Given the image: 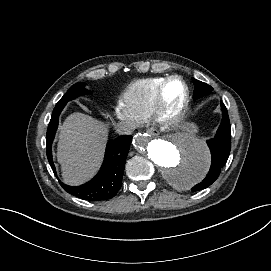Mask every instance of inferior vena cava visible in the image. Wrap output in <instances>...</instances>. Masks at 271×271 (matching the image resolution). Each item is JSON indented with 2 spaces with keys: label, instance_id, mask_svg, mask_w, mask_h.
<instances>
[{
  "label": "inferior vena cava",
  "instance_id": "602c4592",
  "mask_svg": "<svg viewBox=\"0 0 271 271\" xmlns=\"http://www.w3.org/2000/svg\"><path fill=\"white\" fill-rule=\"evenodd\" d=\"M132 129V124L129 122H120L116 127V131L120 135L131 134Z\"/></svg>",
  "mask_w": 271,
  "mask_h": 271
}]
</instances>
